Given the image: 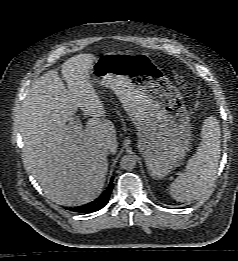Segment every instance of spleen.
I'll list each match as a JSON object with an SVG mask.
<instances>
[{
    "instance_id": "3e777b00",
    "label": "spleen",
    "mask_w": 238,
    "mask_h": 261,
    "mask_svg": "<svg viewBox=\"0 0 238 261\" xmlns=\"http://www.w3.org/2000/svg\"><path fill=\"white\" fill-rule=\"evenodd\" d=\"M201 138L196 153L188 160L185 172L170 185L169 193L178 202L201 198L214 183L221 151L220 125L214 116L204 120Z\"/></svg>"
}]
</instances>
